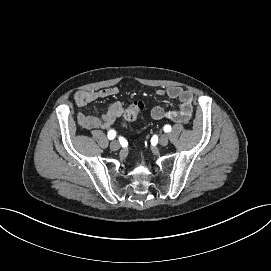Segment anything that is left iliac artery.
<instances>
[{
    "mask_svg": "<svg viewBox=\"0 0 271 271\" xmlns=\"http://www.w3.org/2000/svg\"><path fill=\"white\" fill-rule=\"evenodd\" d=\"M164 131L165 132H170L171 131V126L170 125H165L164 126Z\"/></svg>",
    "mask_w": 271,
    "mask_h": 271,
    "instance_id": "44dca946",
    "label": "left iliac artery"
}]
</instances>
